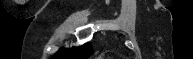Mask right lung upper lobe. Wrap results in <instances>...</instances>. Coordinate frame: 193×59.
Instances as JSON below:
<instances>
[{
    "instance_id": "obj_1",
    "label": "right lung upper lobe",
    "mask_w": 193,
    "mask_h": 59,
    "mask_svg": "<svg viewBox=\"0 0 193 59\" xmlns=\"http://www.w3.org/2000/svg\"><path fill=\"white\" fill-rule=\"evenodd\" d=\"M91 53L92 45L91 43H87L82 47L61 50L53 59H87Z\"/></svg>"
}]
</instances>
